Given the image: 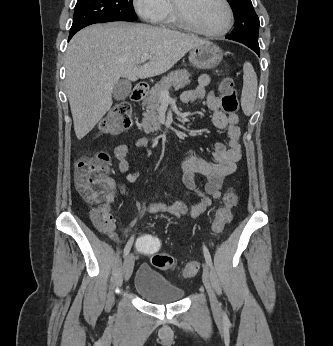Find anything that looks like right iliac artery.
<instances>
[{
	"instance_id": "82829eb1",
	"label": "right iliac artery",
	"mask_w": 333,
	"mask_h": 346,
	"mask_svg": "<svg viewBox=\"0 0 333 346\" xmlns=\"http://www.w3.org/2000/svg\"><path fill=\"white\" fill-rule=\"evenodd\" d=\"M133 241H134V237H131V238L129 239V241L127 242V244H126V246H125V248H124V253H123V256H124V257H126V256L129 254V252H130V250H131V247H132V245H133Z\"/></svg>"
}]
</instances>
